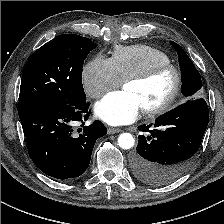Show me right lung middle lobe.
Returning a JSON list of instances; mask_svg holds the SVG:
<instances>
[{"label":"right lung middle lobe","instance_id":"1","mask_svg":"<svg viewBox=\"0 0 224 224\" xmlns=\"http://www.w3.org/2000/svg\"><path fill=\"white\" fill-rule=\"evenodd\" d=\"M96 46L88 38L63 34L36 50L22 74L18 113L44 103L85 101L83 62Z\"/></svg>","mask_w":224,"mask_h":224}]
</instances>
